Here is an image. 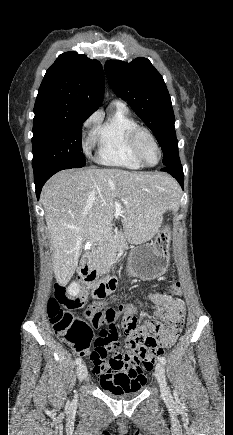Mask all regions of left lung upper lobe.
<instances>
[{
    "instance_id": "5c2ea615",
    "label": "left lung upper lobe",
    "mask_w": 233,
    "mask_h": 435,
    "mask_svg": "<svg viewBox=\"0 0 233 435\" xmlns=\"http://www.w3.org/2000/svg\"><path fill=\"white\" fill-rule=\"evenodd\" d=\"M105 72L114 93L127 101L154 133L163 150V164L167 167L180 162L171 98L151 62L143 57L130 63L108 60Z\"/></svg>"
}]
</instances>
